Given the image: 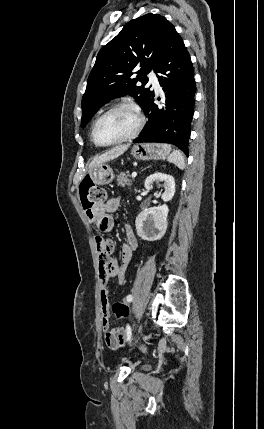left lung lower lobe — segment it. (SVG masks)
<instances>
[{
    "instance_id": "obj_1",
    "label": "left lung lower lobe",
    "mask_w": 264,
    "mask_h": 429,
    "mask_svg": "<svg viewBox=\"0 0 264 429\" xmlns=\"http://www.w3.org/2000/svg\"><path fill=\"white\" fill-rule=\"evenodd\" d=\"M154 71L163 88L164 106L154 104V94L144 107L148 116L142 134L134 142H162L176 145L188 155L196 85L193 65L182 38L172 29Z\"/></svg>"
}]
</instances>
